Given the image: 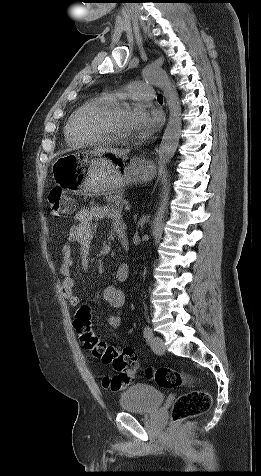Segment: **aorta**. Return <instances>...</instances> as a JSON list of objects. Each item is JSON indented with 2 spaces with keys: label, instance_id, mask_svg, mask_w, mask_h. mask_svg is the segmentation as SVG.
<instances>
[{
  "label": "aorta",
  "instance_id": "762f6f07",
  "mask_svg": "<svg viewBox=\"0 0 261 476\" xmlns=\"http://www.w3.org/2000/svg\"><path fill=\"white\" fill-rule=\"evenodd\" d=\"M143 77L146 81L159 87L164 92L169 105V118L158 152L159 163L165 165L173 158L179 144L182 129L179 97L175 85L170 81L164 70L148 66L143 72Z\"/></svg>",
  "mask_w": 261,
  "mask_h": 476
}]
</instances>
